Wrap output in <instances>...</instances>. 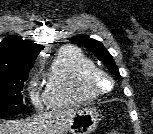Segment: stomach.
Listing matches in <instances>:
<instances>
[{
    "label": "stomach",
    "mask_w": 153,
    "mask_h": 134,
    "mask_svg": "<svg viewBox=\"0 0 153 134\" xmlns=\"http://www.w3.org/2000/svg\"><path fill=\"white\" fill-rule=\"evenodd\" d=\"M99 113L91 108L76 110L70 126V134H91L98 125Z\"/></svg>",
    "instance_id": "0dacf381"
}]
</instances>
